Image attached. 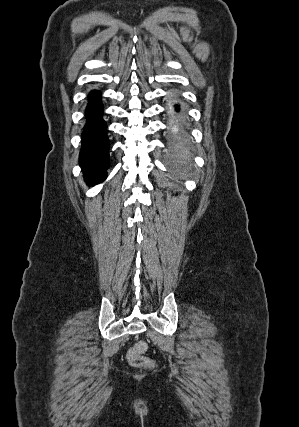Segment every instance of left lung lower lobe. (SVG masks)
<instances>
[{"instance_id":"0a47b994","label":"left lung lower lobe","mask_w":299,"mask_h":427,"mask_svg":"<svg viewBox=\"0 0 299 427\" xmlns=\"http://www.w3.org/2000/svg\"><path fill=\"white\" fill-rule=\"evenodd\" d=\"M175 110L179 112L178 105L175 106ZM170 131H171L170 149L172 153H175V154L183 153L188 144V138L184 129L177 122H172Z\"/></svg>"}]
</instances>
